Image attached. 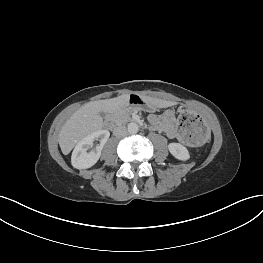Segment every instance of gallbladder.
Returning <instances> with one entry per match:
<instances>
[{"mask_svg": "<svg viewBox=\"0 0 263 263\" xmlns=\"http://www.w3.org/2000/svg\"><path fill=\"white\" fill-rule=\"evenodd\" d=\"M100 115H101L102 117H105V116H106V114H105V113H100Z\"/></svg>", "mask_w": 263, "mask_h": 263, "instance_id": "obj_1", "label": "gallbladder"}]
</instances>
